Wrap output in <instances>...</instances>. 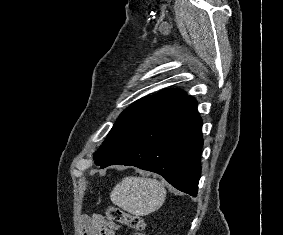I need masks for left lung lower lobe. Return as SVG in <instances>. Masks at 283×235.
<instances>
[{"instance_id":"1","label":"left lung lower lobe","mask_w":283,"mask_h":235,"mask_svg":"<svg viewBox=\"0 0 283 235\" xmlns=\"http://www.w3.org/2000/svg\"><path fill=\"white\" fill-rule=\"evenodd\" d=\"M201 127L197 102L188 96L152 118L100 166H137L162 175L178 190L196 196L201 174Z\"/></svg>"}]
</instances>
